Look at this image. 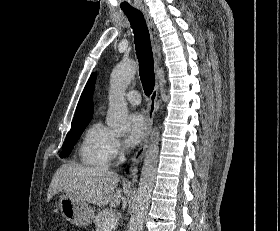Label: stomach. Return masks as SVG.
Masks as SVG:
<instances>
[{"label":"stomach","mask_w":280,"mask_h":231,"mask_svg":"<svg viewBox=\"0 0 280 231\" xmlns=\"http://www.w3.org/2000/svg\"><path fill=\"white\" fill-rule=\"evenodd\" d=\"M59 209L70 223L79 225V227H86L94 217V209L86 201L79 199L77 195H68V193L60 195Z\"/></svg>","instance_id":"0dacf381"}]
</instances>
